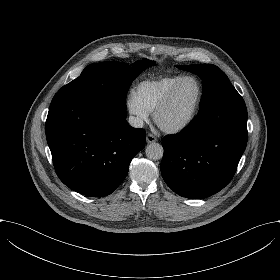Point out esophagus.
Wrapping results in <instances>:
<instances>
[{"mask_svg":"<svg viewBox=\"0 0 280 280\" xmlns=\"http://www.w3.org/2000/svg\"><path fill=\"white\" fill-rule=\"evenodd\" d=\"M158 139L157 137H155L153 134L151 133H148L147 136H146V142L147 143H154L156 142Z\"/></svg>","mask_w":280,"mask_h":280,"instance_id":"esophagus-1","label":"esophagus"}]
</instances>
